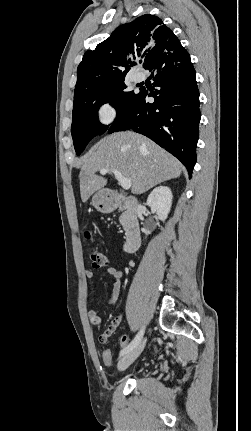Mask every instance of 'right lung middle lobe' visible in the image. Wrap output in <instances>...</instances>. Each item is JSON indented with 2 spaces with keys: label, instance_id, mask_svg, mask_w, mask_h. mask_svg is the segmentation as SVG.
I'll list each match as a JSON object with an SVG mask.
<instances>
[{
  "label": "right lung middle lobe",
  "instance_id": "right-lung-middle-lobe-1",
  "mask_svg": "<svg viewBox=\"0 0 251 431\" xmlns=\"http://www.w3.org/2000/svg\"><path fill=\"white\" fill-rule=\"evenodd\" d=\"M136 93L126 91L124 79L105 87L74 96L71 134L77 155H80L89 141L103 134L108 126L98 121V109L104 103L115 107L117 116L126 108Z\"/></svg>",
  "mask_w": 251,
  "mask_h": 431
}]
</instances>
